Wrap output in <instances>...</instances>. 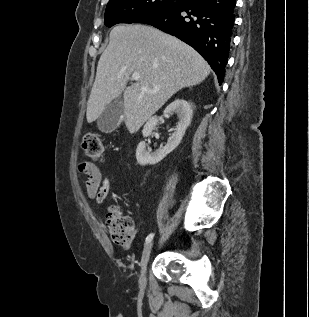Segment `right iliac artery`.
<instances>
[{
	"label": "right iliac artery",
	"mask_w": 309,
	"mask_h": 317,
	"mask_svg": "<svg viewBox=\"0 0 309 317\" xmlns=\"http://www.w3.org/2000/svg\"><path fill=\"white\" fill-rule=\"evenodd\" d=\"M153 237H154V233H150V234L146 237L145 244L147 245L148 243H150L151 240L153 239Z\"/></svg>",
	"instance_id": "right-iliac-artery-1"
}]
</instances>
